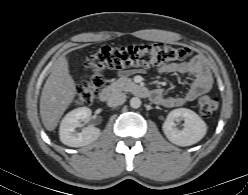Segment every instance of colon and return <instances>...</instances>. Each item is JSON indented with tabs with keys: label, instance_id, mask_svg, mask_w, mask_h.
I'll list each match as a JSON object with an SVG mask.
<instances>
[{
	"label": "colon",
	"instance_id": "5ec220e1",
	"mask_svg": "<svg viewBox=\"0 0 248 195\" xmlns=\"http://www.w3.org/2000/svg\"><path fill=\"white\" fill-rule=\"evenodd\" d=\"M192 54L188 47H176L167 43L131 45L125 47L104 46L97 49L85 60L86 74L76 90V103L89 106L104 84L101 72L104 69L129 67H152L184 60ZM199 112L209 118L218 107L217 98L203 95L199 98Z\"/></svg>",
	"mask_w": 248,
	"mask_h": 195
}]
</instances>
